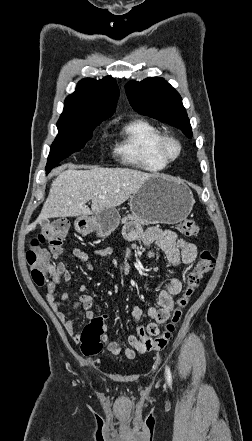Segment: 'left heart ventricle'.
<instances>
[{
  "instance_id": "obj_1",
  "label": "left heart ventricle",
  "mask_w": 252,
  "mask_h": 441,
  "mask_svg": "<svg viewBox=\"0 0 252 441\" xmlns=\"http://www.w3.org/2000/svg\"><path fill=\"white\" fill-rule=\"evenodd\" d=\"M168 153L170 154V155H174L175 153H176V146L175 145H169L168 146Z\"/></svg>"
}]
</instances>
